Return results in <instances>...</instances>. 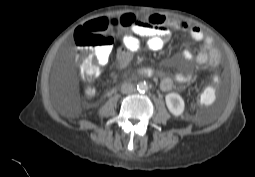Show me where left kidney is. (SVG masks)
I'll return each mask as SVG.
<instances>
[{
    "instance_id": "left-kidney-1",
    "label": "left kidney",
    "mask_w": 255,
    "mask_h": 177,
    "mask_svg": "<svg viewBox=\"0 0 255 177\" xmlns=\"http://www.w3.org/2000/svg\"><path fill=\"white\" fill-rule=\"evenodd\" d=\"M166 105L169 111L174 116H179L183 113L185 104L182 97L177 93H169L165 96Z\"/></svg>"
}]
</instances>
